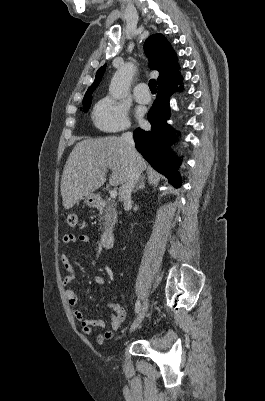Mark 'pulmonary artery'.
<instances>
[{"label": "pulmonary artery", "instance_id": "obj_1", "mask_svg": "<svg viewBox=\"0 0 265 401\" xmlns=\"http://www.w3.org/2000/svg\"><path fill=\"white\" fill-rule=\"evenodd\" d=\"M144 83H139L135 88L134 98L136 101L141 103H149L151 101V95L148 94V88Z\"/></svg>", "mask_w": 265, "mask_h": 401}]
</instances>
